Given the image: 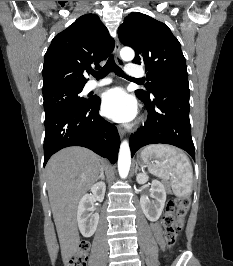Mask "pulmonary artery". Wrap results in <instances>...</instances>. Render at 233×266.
I'll return each mask as SVG.
<instances>
[{"label": "pulmonary artery", "instance_id": "obj_1", "mask_svg": "<svg viewBox=\"0 0 233 266\" xmlns=\"http://www.w3.org/2000/svg\"><path fill=\"white\" fill-rule=\"evenodd\" d=\"M126 73L130 76V77H134V78H140L144 76L143 71H141L140 69H138V67L134 64H129L126 67ZM112 82V80L110 78H103L101 80H92L89 81L86 86L85 89L87 91H91L94 90L96 88L108 85Z\"/></svg>", "mask_w": 233, "mask_h": 266}]
</instances>
